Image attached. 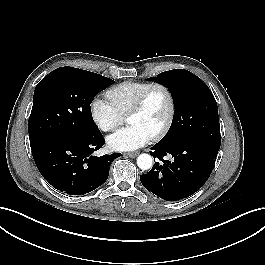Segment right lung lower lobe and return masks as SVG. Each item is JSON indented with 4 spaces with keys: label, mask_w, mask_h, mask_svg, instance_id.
I'll list each match as a JSON object with an SVG mask.
<instances>
[{
    "label": "right lung lower lobe",
    "mask_w": 265,
    "mask_h": 265,
    "mask_svg": "<svg viewBox=\"0 0 265 265\" xmlns=\"http://www.w3.org/2000/svg\"><path fill=\"white\" fill-rule=\"evenodd\" d=\"M104 144L101 133L90 137H60L30 143L42 176L54 188L69 195H82L101 186L111 162L120 153L93 156Z\"/></svg>",
    "instance_id": "1"
}]
</instances>
